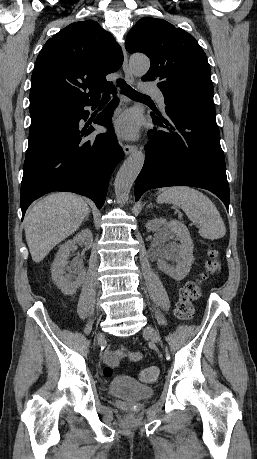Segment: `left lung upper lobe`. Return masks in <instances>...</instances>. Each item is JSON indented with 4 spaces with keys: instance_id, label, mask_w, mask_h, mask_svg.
I'll return each mask as SVG.
<instances>
[{
    "instance_id": "obj_1",
    "label": "left lung upper lobe",
    "mask_w": 257,
    "mask_h": 459,
    "mask_svg": "<svg viewBox=\"0 0 257 459\" xmlns=\"http://www.w3.org/2000/svg\"><path fill=\"white\" fill-rule=\"evenodd\" d=\"M129 53L150 58L143 81H157L171 105L199 97H213L211 69L206 54L193 36L163 19L142 18L126 38Z\"/></svg>"
}]
</instances>
